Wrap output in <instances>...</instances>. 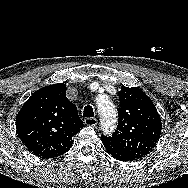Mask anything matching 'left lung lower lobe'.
<instances>
[{"instance_id":"1","label":"left lung lower lobe","mask_w":188,"mask_h":188,"mask_svg":"<svg viewBox=\"0 0 188 188\" xmlns=\"http://www.w3.org/2000/svg\"><path fill=\"white\" fill-rule=\"evenodd\" d=\"M101 141L106 148L107 152L110 153L114 158L122 161H132L136 158L135 156L131 155L130 153L118 148L117 146L113 145L106 139L101 138Z\"/></svg>"}]
</instances>
